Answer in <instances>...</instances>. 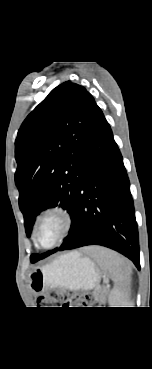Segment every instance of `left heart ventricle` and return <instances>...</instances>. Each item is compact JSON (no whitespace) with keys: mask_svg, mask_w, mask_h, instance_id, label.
<instances>
[{"mask_svg":"<svg viewBox=\"0 0 152 369\" xmlns=\"http://www.w3.org/2000/svg\"><path fill=\"white\" fill-rule=\"evenodd\" d=\"M62 223L59 217L49 216L41 224L38 238L42 245H51L60 235Z\"/></svg>","mask_w":152,"mask_h":369,"instance_id":"1","label":"left heart ventricle"}]
</instances>
